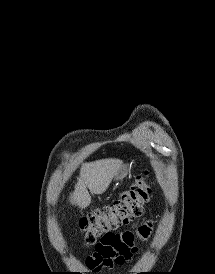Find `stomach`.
Masks as SVG:
<instances>
[{
  "label": "stomach",
  "instance_id": "1",
  "mask_svg": "<svg viewBox=\"0 0 215 274\" xmlns=\"http://www.w3.org/2000/svg\"><path fill=\"white\" fill-rule=\"evenodd\" d=\"M129 167L127 164H123L120 170L114 176L115 181L123 180L128 174Z\"/></svg>",
  "mask_w": 215,
  "mask_h": 274
}]
</instances>
